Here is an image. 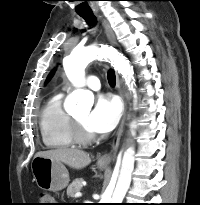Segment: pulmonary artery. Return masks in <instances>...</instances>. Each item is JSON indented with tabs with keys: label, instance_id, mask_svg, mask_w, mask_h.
<instances>
[{
	"label": "pulmonary artery",
	"instance_id": "1",
	"mask_svg": "<svg viewBox=\"0 0 200 205\" xmlns=\"http://www.w3.org/2000/svg\"><path fill=\"white\" fill-rule=\"evenodd\" d=\"M86 84L90 89L94 91H98L101 87L100 80L96 76L88 77Z\"/></svg>",
	"mask_w": 200,
	"mask_h": 205
}]
</instances>
